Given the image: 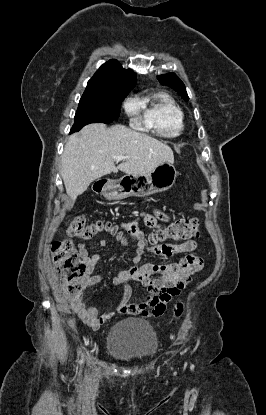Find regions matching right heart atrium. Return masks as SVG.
<instances>
[{
    "instance_id": "d8ad5b80",
    "label": "right heart atrium",
    "mask_w": 266,
    "mask_h": 415,
    "mask_svg": "<svg viewBox=\"0 0 266 415\" xmlns=\"http://www.w3.org/2000/svg\"><path fill=\"white\" fill-rule=\"evenodd\" d=\"M126 114L133 118L135 117L140 109L139 102L135 98H128L123 104Z\"/></svg>"
}]
</instances>
